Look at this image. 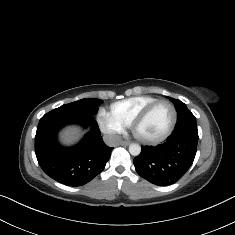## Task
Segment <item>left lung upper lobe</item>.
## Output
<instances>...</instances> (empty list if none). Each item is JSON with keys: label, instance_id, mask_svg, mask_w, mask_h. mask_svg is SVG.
I'll list each match as a JSON object with an SVG mask.
<instances>
[{"label": "left lung upper lobe", "instance_id": "1", "mask_svg": "<svg viewBox=\"0 0 235 235\" xmlns=\"http://www.w3.org/2000/svg\"><path fill=\"white\" fill-rule=\"evenodd\" d=\"M177 110V124L173 133H178L182 131H191L198 133L196 118L187 108V106L180 100L170 98Z\"/></svg>", "mask_w": 235, "mask_h": 235}]
</instances>
